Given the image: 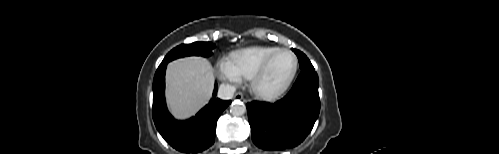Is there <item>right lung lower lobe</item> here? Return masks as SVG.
<instances>
[{
	"label": "right lung lower lobe",
	"mask_w": 499,
	"mask_h": 154,
	"mask_svg": "<svg viewBox=\"0 0 499 154\" xmlns=\"http://www.w3.org/2000/svg\"><path fill=\"white\" fill-rule=\"evenodd\" d=\"M167 63H161L153 80V120L162 137L176 150L195 154L209 148L215 139L216 123L231 101L213 98L196 116L178 121L168 112L165 102V71Z\"/></svg>",
	"instance_id": "right-lung-lower-lobe-1"
}]
</instances>
